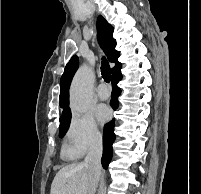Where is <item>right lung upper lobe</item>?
Segmentation results:
<instances>
[{
    "instance_id": "1",
    "label": "right lung upper lobe",
    "mask_w": 201,
    "mask_h": 194,
    "mask_svg": "<svg viewBox=\"0 0 201 194\" xmlns=\"http://www.w3.org/2000/svg\"><path fill=\"white\" fill-rule=\"evenodd\" d=\"M98 40L106 53L110 62H114L115 66L112 68V74L121 69V63L117 60L120 52L115 49L116 40L112 37L114 28L110 25L103 16L97 19ZM79 60L77 56H73L67 63L64 73L60 80V107L63 109L60 119L71 116L69 108V87L72 78L78 69Z\"/></svg>"
}]
</instances>
